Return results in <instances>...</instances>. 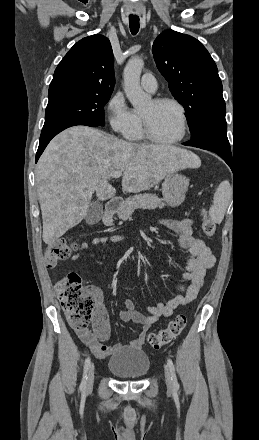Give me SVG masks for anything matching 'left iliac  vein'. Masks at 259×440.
Here are the masks:
<instances>
[{
  "mask_svg": "<svg viewBox=\"0 0 259 440\" xmlns=\"http://www.w3.org/2000/svg\"><path fill=\"white\" fill-rule=\"evenodd\" d=\"M164 374H165V382H166L167 388L169 390H171L173 387L172 377H171V373L169 371V368L167 366H165V368H164Z\"/></svg>",
  "mask_w": 259,
  "mask_h": 440,
  "instance_id": "4c4485c4",
  "label": "left iliac vein"
}]
</instances>
